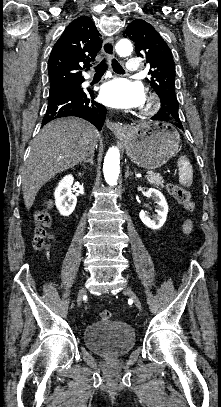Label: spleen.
<instances>
[{
    "label": "spleen",
    "instance_id": "1",
    "mask_svg": "<svg viewBox=\"0 0 221 407\" xmlns=\"http://www.w3.org/2000/svg\"><path fill=\"white\" fill-rule=\"evenodd\" d=\"M179 170V183L182 186L190 187L193 182V169L187 157L182 156L177 161Z\"/></svg>",
    "mask_w": 221,
    "mask_h": 407
}]
</instances>
